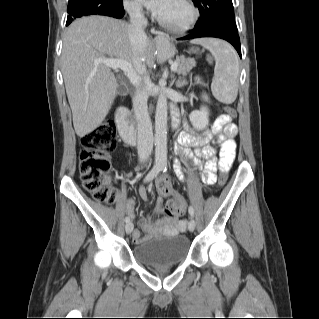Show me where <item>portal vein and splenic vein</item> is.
Here are the masks:
<instances>
[{
    "label": "portal vein and splenic vein",
    "instance_id": "18ae733b",
    "mask_svg": "<svg viewBox=\"0 0 319 319\" xmlns=\"http://www.w3.org/2000/svg\"><path fill=\"white\" fill-rule=\"evenodd\" d=\"M96 64H104L105 66L112 69H121L124 71L128 78L130 79L133 85H139V81L136 77V73L131 65V63L121 60V59H112V58H98L95 60ZM178 67V61H175L171 65V70L176 71Z\"/></svg>",
    "mask_w": 319,
    "mask_h": 319
}]
</instances>
